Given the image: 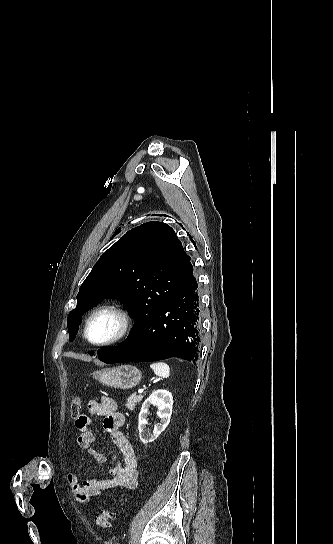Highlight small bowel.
Masks as SVG:
<instances>
[{"instance_id": "obj_1", "label": "small bowel", "mask_w": 333, "mask_h": 544, "mask_svg": "<svg viewBox=\"0 0 333 544\" xmlns=\"http://www.w3.org/2000/svg\"><path fill=\"white\" fill-rule=\"evenodd\" d=\"M87 410L90 415L103 417V426L121 454V460L101 472L104 478H89L80 481L75 473L67 476L71 490L78 502L85 503L113 488L134 489L138 485V463L134 448L121 430L125 422L124 415L118 411L113 399L107 396L89 400ZM91 418L80 415L75 425L79 430L78 445L90 453L99 463L106 461L105 456L94 448L97 436L91 428Z\"/></svg>"}]
</instances>
